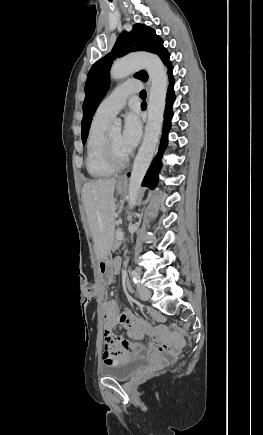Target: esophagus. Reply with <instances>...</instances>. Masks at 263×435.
Wrapping results in <instances>:
<instances>
[{"label":"esophagus","instance_id":"obj_1","mask_svg":"<svg viewBox=\"0 0 263 435\" xmlns=\"http://www.w3.org/2000/svg\"><path fill=\"white\" fill-rule=\"evenodd\" d=\"M147 86H148V89H149V87H150V83L149 82H148ZM125 180H126V175H123V176L120 177L119 182H123Z\"/></svg>","mask_w":263,"mask_h":435}]
</instances>
